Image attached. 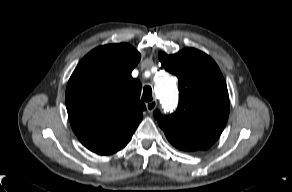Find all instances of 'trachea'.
Masks as SVG:
<instances>
[{"label": "trachea", "mask_w": 292, "mask_h": 192, "mask_svg": "<svg viewBox=\"0 0 292 192\" xmlns=\"http://www.w3.org/2000/svg\"><path fill=\"white\" fill-rule=\"evenodd\" d=\"M142 100L145 102H149L152 100V89L150 86H145L143 89Z\"/></svg>", "instance_id": "obj_1"}]
</instances>
